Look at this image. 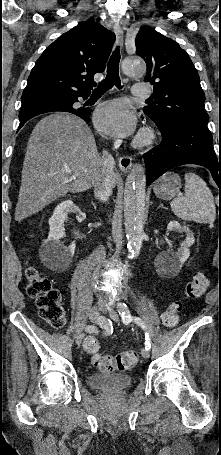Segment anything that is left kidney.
I'll return each instance as SVG.
<instances>
[{"label": "left kidney", "mask_w": 221, "mask_h": 455, "mask_svg": "<svg viewBox=\"0 0 221 455\" xmlns=\"http://www.w3.org/2000/svg\"><path fill=\"white\" fill-rule=\"evenodd\" d=\"M168 231H182L186 233V239L180 244L177 252L163 251L156 257L157 266L167 272H177L189 258V247L194 243L193 232L186 226H181L178 221H171L167 225Z\"/></svg>", "instance_id": "1"}]
</instances>
